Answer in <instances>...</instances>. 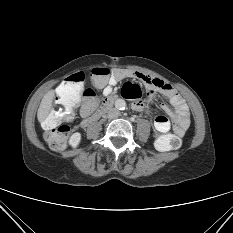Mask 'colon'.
<instances>
[{"instance_id":"colon-1","label":"colon","mask_w":233,"mask_h":233,"mask_svg":"<svg viewBox=\"0 0 233 233\" xmlns=\"http://www.w3.org/2000/svg\"><path fill=\"white\" fill-rule=\"evenodd\" d=\"M111 70L106 67L92 69L89 74L91 84L95 88H102L108 81ZM85 75L77 72L69 76L58 88L56 102L43 121L45 129L44 138L53 150H61L66 146L70 133V127L63 124L64 121L72 117L73 108L79 102L80 96L84 97L89 105H95L96 94L91 88L84 89ZM131 84L123 86L125 96L131 91ZM156 147L161 151L176 150L181 146V139L172 134L162 135L156 139Z\"/></svg>"}]
</instances>
